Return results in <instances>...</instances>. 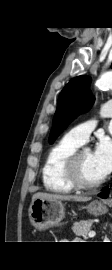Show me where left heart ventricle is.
<instances>
[{
    "label": "left heart ventricle",
    "instance_id": "left-heart-ventricle-1",
    "mask_svg": "<svg viewBox=\"0 0 112 270\" xmlns=\"http://www.w3.org/2000/svg\"><path fill=\"white\" fill-rule=\"evenodd\" d=\"M79 172L81 179L86 183H94L103 178L95 165L91 151H84L82 153L79 162Z\"/></svg>",
    "mask_w": 112,
    "mask_h": 270
}]
</instances>
